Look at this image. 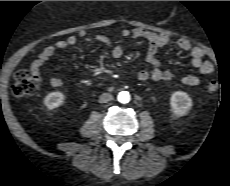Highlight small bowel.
<instances>
[{
    "mask_svg": "<svg viewBox=\"0 0 230 186\" xmlns=\"http://www.w3.org/2000/svg\"><path fill=\"white\" fill-rule=\"evenodd\" d=\"M123 37L131 36L136 39H144L147 44L146 60L151 64L150 70H141L138 72L137 77L140 81H169L172 78V73L168 70H163L160 61L157 59V51L166 46L170 42V38L167 35H159L141 28L124 29L121 33ZM80 38L87 41L99 42L104 45H111V40L103 34H97L92 37L87 36L85 30L80 31ZM80 43V39L74 35L68 36L65 39L58 40L54 44L46 46L38 57L31 63L30 71L39 75L42 66L58 51L65 50L70 47L77 46ZM176 47L181 51H187L190 55L191 66L201 74H211L214 71V64L206 59V51L202 47L193 46L187 39H179L176 41ZM123 50L120 46H115L112 49V57L115 59L121 58ZM199 78L194 75H187L182 78V83L186 86H197L199 84ZM50 84L53 87H62L63 80L57 76L50 78Z\"/></svg>",
    "mask_w": 230,
    "mask_h": 186,
    "instance_id": "small-bowel-1",
    "label": "small bowel"
}]
</instances>
